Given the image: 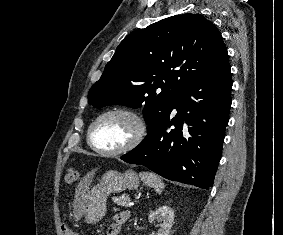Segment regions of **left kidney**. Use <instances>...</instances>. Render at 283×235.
Instances as JSON below:
<instances>
[{
  "label": "left kidney",
  "instance_id": "left-kidney-1",
  "mask_svg": "<svg viewBox=\"0 0 283 235\" xmlns=\"http://www.w3.org/2000/svg\"><path fill=\"white\" fill-rule=\"evenodd\" d=\"M148 219L150 223L155 220L160 223L156 234L150 235H169L174 220V212L169 206L164 205L151 212Z\"/></svg>",
  "mask_w": 283,
  "mask_h": 235
}]
</instances>
